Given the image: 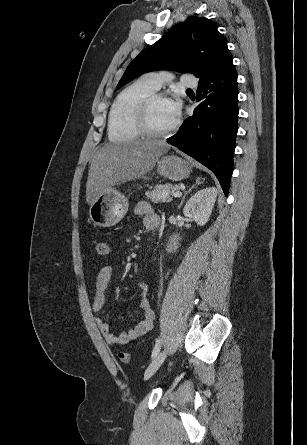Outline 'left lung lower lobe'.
Instances as JSON below:
<instances>
[{"mask_svg": "<svg viewBox=\"0 0 307 445\" xmlns=\"http://www.w3.org/2000/svg\"><path fill=\"white\" fill-rule=\"evenodd\" d=\"M237 72L232 56L199 80L197 102L192 117L168 139L217 176L227 196L233 170L237 135Z\"/></svg>", "mask_w": 307, "mask_h": 445, "instance_id": "left-lung-lower-lobe-1", "label": "left lung lower lobe"}]
</instances>
